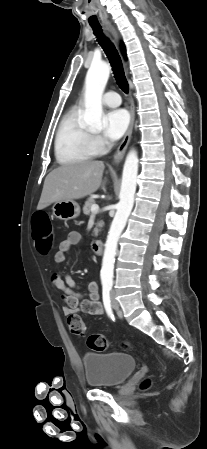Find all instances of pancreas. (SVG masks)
<instances>
[{"label":"pancreas","mask_w":207,"mask_h":449,"mask_svg":"<svg viewBox=\"0 0 207 449\" xmlns=\"http://www.w3.org/2000/svg\"><path fill=\"white\" fill-rule=\"evenodd\" d=\"M96 204L95 200L93 198H88L87 201L85 202L84 206H83V213L85 215H90L91 213V207L92 205ZM104 223L103 221H100L96 224V228H94L93 234L95 236L98 235L99 233V227H103Z\"/></svg>","instance_id":"obj_1"}]
</instances>
